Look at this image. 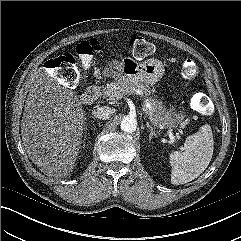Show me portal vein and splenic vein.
Instances as JSON below:
<instances>
[{"label": "portal vein and splenic vein", "mask_w": 241, "mask_h": 241, "mask_svg": "<svg viewBox=\"0 0 241 241\" xmlns=\"http://www.w3.org/2000/svg\"><path fill=\"white\" fill-rule=\"evenodd\" d=\"M147 110L151 111V105H150V104H146V107H145L144 111H145L146 113H148ZM148 114L152 116V112H149ZM153 120H154V119H153ZM168 135H169L170 140H171L172 142H174L175 136L173 135V133L171 132V130L168 132Z\"/></svg>", "instance_id": "18ae733b"}]
</instances>
